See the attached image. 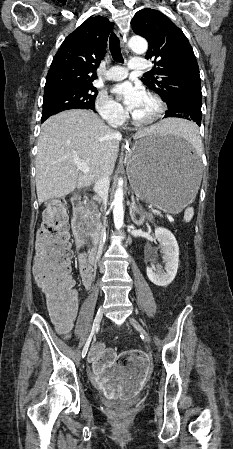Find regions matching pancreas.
Returning <instances> with one entry per match:
<instances>
[{"label":"pancreas","mask_w":233,"mask_h":449,"mask_svg":"<svg viewBox=\"0 0 233 449\" xmlns=\"http://www.w3.org/2000/svg\"><path fill=\"white\" fill-rule=\"evenodd\" d=\"M89 210H90L89 216H90L91 223L94 226H97L99 224V218H100V213L98 211L97 205H95L94 203H91L89 205ZM146 217H147L148 220H152L153 219V215L150 214V213L146 214ZM144 218H145V215H144Z\"/></svg>","instance_id":"pancreas-1"}]
</instances>
